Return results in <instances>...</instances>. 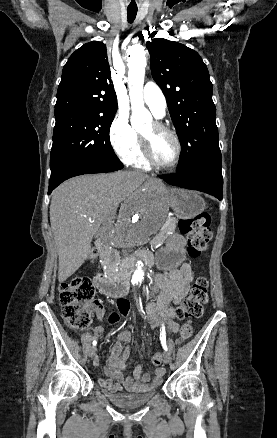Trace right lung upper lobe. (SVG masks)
Instances as JSON below:
<instances>
[{
  "label": "right lung upper lobe",
  "mask_w": 277,
  "mask_h": 438,
  "mask_svg": "<svg viewBox=\"0 0 277 438\" xmlns=\"http://www.w3.org/2000/svg\"><path fill=\"white\" fill-rule=\"evenodd\" d=\"M117 99L111 80L106 46L84 44L68 59L57 91L55 116H114Z\"/></svg>",
  "instance_id": "right-lung-upper-lobe-1"
}]
</instances>
